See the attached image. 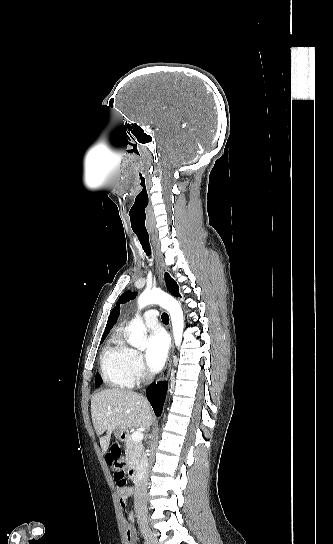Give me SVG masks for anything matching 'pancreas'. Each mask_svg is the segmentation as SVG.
<instances>
[{
  "label": "pancreas",
  "instance_id": "pancreas-1",
  "mask_svg": "<svg viewBox=\"0 0 333 544\" xmlns=\"http://www.w3.org/2000/svg\"><path fill=\"white\" fill-rule=\"evenodd\" d=\"M126 443V461L128 465H136L140 461L141 452H142V444L141 442L134 441L131 438V435H127L125 439Z\"/></svg>",
  "mask_w": 333,
  "mask_h": 544
}]
</instances>
